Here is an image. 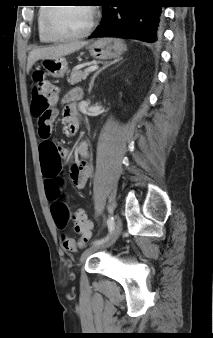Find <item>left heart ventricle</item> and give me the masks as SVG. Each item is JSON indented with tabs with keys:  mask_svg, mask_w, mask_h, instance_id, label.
I'll list each match as a JSON object with an SVG mask.
<instances>
[{
	"mask_svg": "<svg viewBox=\"0 0 213 338\" xmlns=\"http://www.w3.org/2000/svg\"><path fill=\"white\" fill-rule=\"evenodd\" d=\"M91 12L85 6H61L51 15V27L59 34H74L83 31L90 21Z\"/></svg>",
	"mask_w": 213,
	"mask_h": 338,
	"instance_id": "1",
	"label": "left heart ventricle"
}]
</instances>
